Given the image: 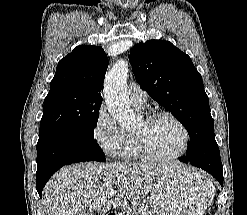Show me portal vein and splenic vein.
<instances>
[{
    "label": "portal vein and splenic vein",
    "mask_w": 247,
    "mask_h": 215,
    "mask_svg": "<svg viewBox=\"0 0 247 215\" xmlns=\"http://www.w3.org/2000/svg\"><path fill=\"white\" fill-rule=\"evenodd\" d=\"M116 194V192L114 190H109L106 192V195L108 198L113 197Z\"/></svg>",
    "instance_id": "obj_1"
}]
</instances>
